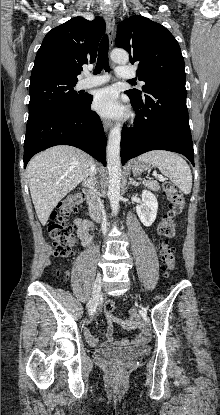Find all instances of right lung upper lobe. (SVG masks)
<instances>
[{"mask_svg":"<svg viewBox=\"0 0 220 415\" xmlns=\"http://www.w3.org/2000/svg\"><path fill=\"white\" fill-rule=\"evenodd\" d=\"M105 29L101 17L92 21L74 17L50 30L36 54L31 80L57 78L77 82L82 65L96 60Z\"/></svg>","mask_w":220,"mask_h":415,"instance_id":"1","label":"right lung upper lobe"}]
</instances>
